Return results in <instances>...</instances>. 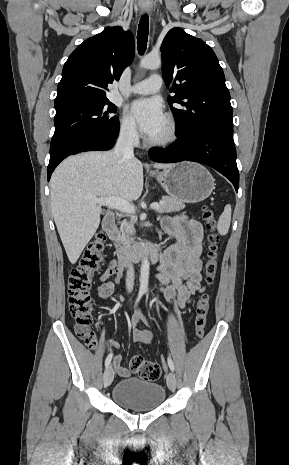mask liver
I'll return each instance as SVG.
<instances>
[{"instance_id":"obj_1","label":"liver","mask_w":289,"mask_h":465,"mask_svg":"<svg viewBox=\"0 0 289 465\" xmlns=\"http://www.w3.org/2000/svg\"><path fill=\"white\" fill-rule=\"evenodd\" d=\"M172 164L155 163L157 169ZM143 191V165L114 151H90L62 161L50 181L52 215L69 261L75 264L100 224L94 198L115 196L132 202Z\"/></svg>"}]
</instances>
